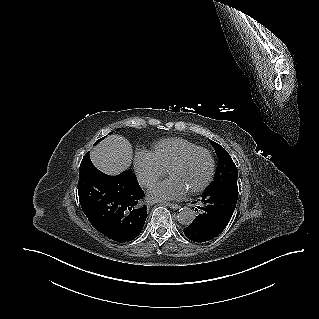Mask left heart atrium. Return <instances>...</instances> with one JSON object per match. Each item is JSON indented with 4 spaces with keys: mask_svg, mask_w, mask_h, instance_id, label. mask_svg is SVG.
I'll return each mask as SVG.
<instances>
[{
    "mask_svg": "<svg viewBox=\"0 0 319 319\" xmlns=\"http://www.w3.org/2000/svg\"><path fill=\"white\" fill-rule=\"evenodd\" d=\"M186 191V187L179 180L170 177L154 185L148 192V198L153 201L176 200Z\"/></svg>",
    "mask_w": 319,
    "mask_h": 319,
    "instance_id": "39dd6f15",
    "label": "left heart atrium"
}]
</instances>
